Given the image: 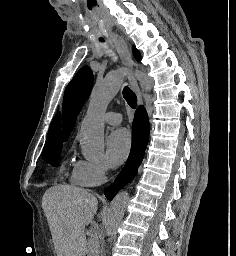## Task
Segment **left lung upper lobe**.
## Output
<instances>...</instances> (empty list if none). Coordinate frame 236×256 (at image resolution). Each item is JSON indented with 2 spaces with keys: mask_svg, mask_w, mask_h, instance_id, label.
Returning a JSON list of instances; mask_svg holds the SVG:
<instances>
[{
  "mask_svg": "<svg viewBox=\"0 0 236 256\" xmlns=\"http://www.w3.org/2000/svg\"><path fill=\"white\" fill-rule=\"evenodd\" d=\"M134 56L140 60V54L133 48ZM93 85V74L89 67H82L65 90L62 109L63 138L67 140L75 125L77 116L87 100Z\"/></svg>",
  "mask_w": 236,
  "mask_h": 256,
  "instance_id": "5c2ea615",
  "label": "left lung upper lobe"
}]
</instances>
